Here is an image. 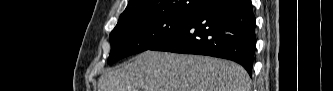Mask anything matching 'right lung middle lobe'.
<instances>
[{"label":"right lung middle lobe","mask_w":333,"mask_h":91,"mask_svg":"<svg viewBox=\"0 0 333 91\" xmlns=\"http://www.w3.org/2000/svg\"><path fill=\"white\" fill-rule=\"evenodd\" d=\"M214 0H204L207 7ZM195 15L158 14L144 16L116 25L110 34L111 52L108 63L126 56L150 50L184 27Z\"/></svg>","instance_id":"dd1d6c3e"}]
</instances>
